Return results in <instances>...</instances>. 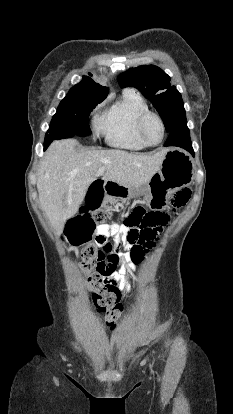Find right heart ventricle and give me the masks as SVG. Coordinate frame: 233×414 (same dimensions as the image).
<instances>
[{"label": "right heart ventricle", "instance_id": "1", "mask_svg": "<svg viewBox=\"0 0 233 414\" xmlns=\"http://www.w3.org/2000/svg\"><path fill=\"white\" fill-rule=\"evenodd\" d=\"M147 111L149 107L141 95L125 90L122 98L99 117L97 129L110 146L143 150L150 145L141 138L137 124L140 116Z\"/></svg>", "mask_w": 233, "mask_h": 414}]
</instances>
